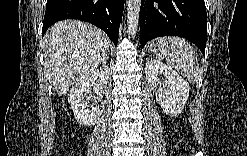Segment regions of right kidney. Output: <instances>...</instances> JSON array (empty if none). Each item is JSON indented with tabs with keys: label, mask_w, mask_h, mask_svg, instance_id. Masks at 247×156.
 I'll list each match as a JSON object with an SVG mask.
<instances>
[{
	"label": "right kidney",
	"mask_w": 247,
	"mask_h": 156,
	"mask_svg": "<svg viewBox=\"0 0 247 156\" xmlns=\"http://www.w3.org/2000/svg\"><path fill=\"white\" fill-rule=\"evenodd\" d=\"M109 71V67L106 65L94 69L85 78L77 81L70 89L68 102L80 124L92 126L96 123L100 115V108L90 103V99L94 98L95 100L97 97L88 96L87 93L91 89L97 96L104 93L109 79Z\"/></svg>",
	"instance_id": "1"
}]
</instances>
